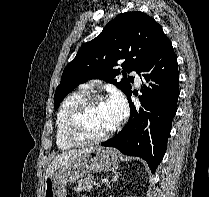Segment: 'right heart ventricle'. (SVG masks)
Returning a JSON list of instances; mask_svg holds the SVG:
<instances>
[{
    "label": "right heart ventricle",
    "instance_id": "e07e8e85",
    "mask_svg": "<svg viewBox=\"0 0 209 197\" xmlns=\"http://www.w3.org/2000/svg\"><path fill=\"white\" fill-rule=\"evenodd\" d=\"M88 95L85 88H80L69 94L62 102L56 117V143L62 150H68L76 145L71 143L65 135V123L70 111Z\"/></svg>",
    "mask_w": 209,
    "mask_h": 197
}]
</instances>
